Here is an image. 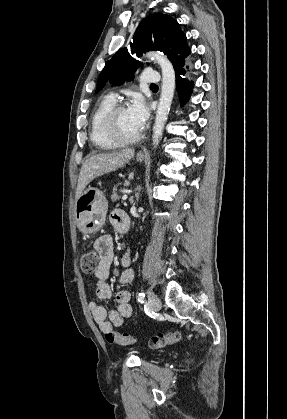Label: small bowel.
Returning a JSON list of instances; mask_svg holds the SVG:
<instances>
[{"mask_svg":"<svg viewBox=\"0 0 287 419\" xmlns=\"http://www.w3.org/2000/svg\"><path fill=\"white\" fill-rule=\"evenodd\" d=\"M110 221L115 230L121 231L123 227H129V218L127 214L117 209L112 212ZM94 249L100 255V265L95 273L96 281L94 283L95 296L98 299L109 300L112 296L111 289L106 280L109 276L111 263L113 260V239L111 235L105 234L100 236L94 243ZM122 263L128 266L130 263V256L127 253ZM134 278V272L130 268L123 270L119 276L121 284H128ZM131 294L128 290H120L115 295L117 307L107 313L105 307L95 301L89 303V309L92 316L98 325L99 329L106 334L112 332L115 327H120L125 318L132 315L133 309L130 304Z\"/></svg>","mask_w":287,"mask_h":419,"instance_id":"small-bowel-1","label":"small bowel"}]
</instances>
